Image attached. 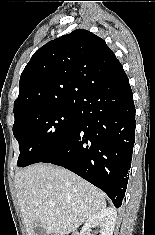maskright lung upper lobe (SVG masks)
<instances>
[{
  "mask_svg": "<svg viewBox=\"0 0 155 235\" xmlns=\"http://www.w3.org/2000/svg\"><path fill=\"white\" fill-rule=\"evenodd\" d=\"M124 72L105 41L77 29L54 39L31 57L19 82L14 115L56 105H77L95 86Z\"/></svg>",
  "mask_w": 155,
  "mask_h": 235,
  "instance_id": "1",
  "label": "right lung upper lobe"
}]
</instances>
